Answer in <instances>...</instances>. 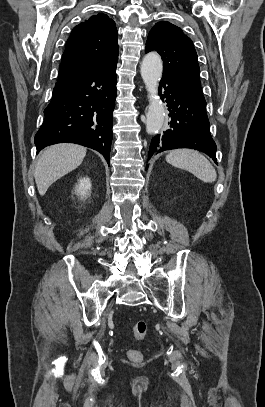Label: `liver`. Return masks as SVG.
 Wrapping results in <instances>:
<instances>
[{"label":"liver","instance_id":"obj_1","mask_svg":"<svg viewBox=\"0 0 265 407\" xmlns=\"http://www.w3.org/2000/svg\"><path fill=\"white\" fill-rule=\"evenodd\" d=\"M85 155V147L72 143H60L46 148L39 157L34 171L39 194L45 195L55 181L76 169Z\"/></svg>","mask_w":265,"mask_h":407}]
</instances>
